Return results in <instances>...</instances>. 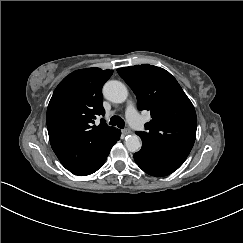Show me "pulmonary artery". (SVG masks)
Wrapping results in <instances>:
<instances>
[{
	"instance_id": "pulmonary-artery-1",
	"label": "pulmonary artery",
	"mask_w": 243,
	"mask_h": 243,
	"mask_svg": "<svg viewBox=\"0 0 243 243\" xmlns=\"http://www.w3.org/2000/svg\"><path fill=\"white\" fill-rule=\"evenodd\" d=\"M136 111L135 104L132 99H130L127 103L126 107V114L129 115L130 113Z\"/></svg>"
}]
</instances>
